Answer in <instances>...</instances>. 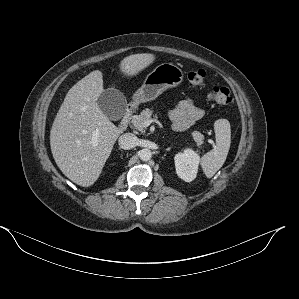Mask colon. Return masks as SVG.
Returning <instances> with one entry per match:
<instances>
[{"label": "colon", "instance_id": "obj_1", "mask_svg": "<svg viewBox=\"0 0 299 299\" xmlns=\"http://www.w3.org/2000/svg\"><path fill=\"white\" fill-rule=\"evenodd\" d=\"M188 80L193 86L203 88L207 80L206 72L203 69L193 70L189 72ZM208 96L212 101L222 105H227L232 101L231 91L225 86H213Z\"/></svg>", "mask_w": 299, "mask_h": 299}]
</instances>
